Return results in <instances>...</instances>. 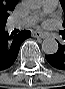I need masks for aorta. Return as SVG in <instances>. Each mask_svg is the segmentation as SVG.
Masks as SVG:
<instances>
[{
	"label": "aorta",
	"instance_id": "aorta-1",
	"mask_svg": "<svg viewBox=\"0 0 65 89\" xmlns=\"http://www.w3.org/2000/svg\"><path fill=\"white\" fill-rule=\"evenodd\" d=\"M27 7L36 10L41 7V0H29ZM42 50L47 55L55 54L58 51V43L54 38H46L42 42Z\"/></svg>",
	"mask_w": 65,
	"mask_h": 89
}]
</instances>
